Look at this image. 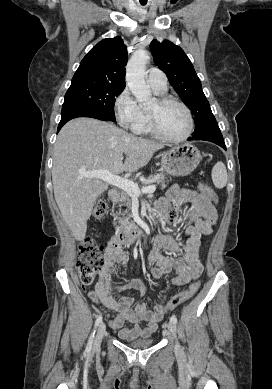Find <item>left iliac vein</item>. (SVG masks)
<instances>
[{"instance_id": "1", "label": "left iliac vein", "mask_w": 272, "mask_h": 389, "mask_svg": "<svg viewBox=\"0 0 272 389\" xmlns=\"http://www.w3.org/2000/svg\"><path fill=\"white\" fill-rule=\"evenodd\" d=\"M167 328H168V332L173 336V337H176V332H177V329H176V324L173 323V322H169L167 324ZM180 345L178 342H176V350L177 351H180Z\"/></svg>"}]
</instances>
